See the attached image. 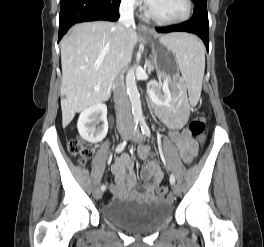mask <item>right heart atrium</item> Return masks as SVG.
Here are the masks:
<instances>
[{"mask_svg": "<svg viewBox=\"0 0 264 247\" xmlns=\"http://www.w3.org/2000/svg\"><path fill=\"white\" fill-rule=\"evenodd\" d=\"M121 4L127 9H134L139 5L138 0H121Z\"/></svg>", "mask_w": 264, "mask_h": 247, "instance_id": "obj_1", "label": "right heart atrium"}]
</instances>
